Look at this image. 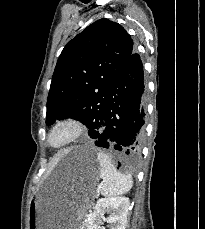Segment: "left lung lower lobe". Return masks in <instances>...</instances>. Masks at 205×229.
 <instances>
[{
	"label": "left lung lower lobe",
	"mask_w": 205,
	"mask_h": 229,
	"mask_svg": "<svg viewBox=\"0 0 205 229\" xmlns=\"http://www.w3.org/2000/svg\"><path fill=\"white\" fill-rule=\"evenodd\" d=\"M144 93L143 64L133 51L108 92L98 131L91 134L96 146L121 151L131 159L140 155L145 124Z\"/></svg>",
	"instance_id": "1"
}]
</instances>
